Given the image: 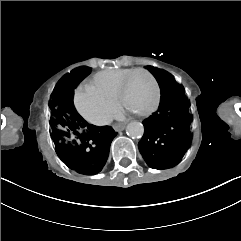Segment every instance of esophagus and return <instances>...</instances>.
Returning <instances> with one entry per match:
<instances>
[{
	"mask_svg": "<svg viewBox=\"0 0 241 241\" xmlns=\"http://www.w3.org/2000/svg\"><path fill=\"white\" fill-rule=\"evenodd\" d=\"M113 128H114L115 131H118V132H119V131H122V130L125 129V125H123V124H117V125H114Z\"/></svg>",
	"mask_w": 241,
	"mask_h": 241,
	"instance_id": "1",
	"label": "esophagus"
}]
</instances>
